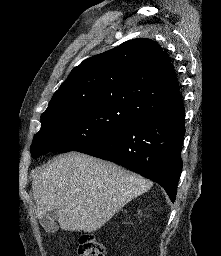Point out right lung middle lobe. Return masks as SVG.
Here are the masks:
<instances>
[{"label": "right lung middle lobe", "mask_w": 221, "mask_h": 256, "mask_svg": "<svg viewBox=\"0 0 221 256\" xmlns=\"http://www.w3.org/2000/svg\"><path fill=\"white\" fill-rule=\"evenodd\" d=\"M137 118L136 113L115 104L89 105L43 114L42 127L34 136L31 154L37 158L51 151H77Z\"/></svg>", "instance_id": "right-lung-middle-lobe-1"}]
</instances>
